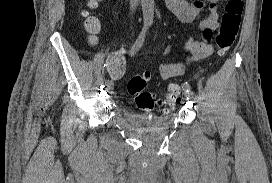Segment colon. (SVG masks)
I'll return each mask as SVG.
<instances>
[{"mask_svg":"<svg viewBox=\"0 0 272 183\" xmlns=\"http://www.w3.org/2000/svg\"><path fill=\"white\" fill-rule=\"evenodd\" d=\"M95 0H90L89 4L94 5ZM243 0H228L221 19V26L216 35V45L218 54L223 56L233 45L240 28L243 13ZM87 28L95 34L99 31V22L96 18L87 17ZM150 80V74L145 72L138 74L128 82V92L134 98L137 106L144 111H151L156 104L154 95L146 88ZM180 100V92L177 87H173L165 98L158 101L161 111L166 113L171 111Z\"/></svg>","mask_w":272,"mask_h":183,"instance_id":"obj_1","label":"colon"}]
</instances>
